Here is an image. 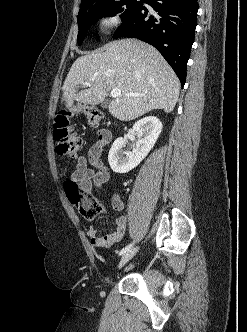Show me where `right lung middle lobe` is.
Returning a JSON list of instances; mask_svg holds the SVG:
<instances>
[{
	"instance_id": "dd1d6c3e",
	"label": "right lung middle lobe",
	"mask_w": 247,
	"mask_h": 332,
	"mask_svg": "<svg viewBox=\"0 0 247 332\" xmlns=\"http://www.w3.org/2000/svg\"><path fill=\"white\" fill-rule=\"evenodd\" d=\"M145 0H102L87 8L81 9L78 13L77 22L79 26L78 44L81 45L91 24L96 23L100 18L115 16L121 13L122 21L136 13Z\"/></svg>"
}]
</instances>
